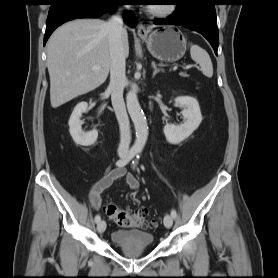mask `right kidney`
I'll use <instances>...</instances> for the list:
<instances>
[{"instance_id":"right-kidney-1","label":"right kidney","mask_w":278,"mask_h":278,"mask_svg":"<svg viewBox=\"0 0 278 278\" xmlns=\"http://www.w3.org/2000/svg\"><path fill=\"white\" fill-rule=\"evenodd\" d=\"M88 104L86 102H81L74 108L70 119H69V132L74 140V142L81 146L93 145L98 138V131L93 129L89 132H84L82 130V121L80 120L82 113L86 112Z\"/></svg>"}]
</instances>
